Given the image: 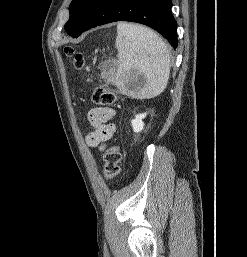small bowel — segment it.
<instances>
[{"instance_id": "c3829d8e", "label": "small bowel", "mask_w": 247, "mask_h": 257, "mask_svg": "<svg viewBox=\"0 0 247 257\" xmlns=\"http://www.w3.org/2000/svg\"><path fill=\"white\" fill-rule=\"evenodd\" d=\"M116 112L108 107H95L88 112V120L93 130L86 136V144L103 150L115 132L113 120Z\"/></svg>"}]
</instances>
